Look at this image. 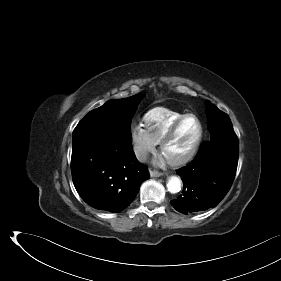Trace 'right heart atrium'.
<instances>
[{
  "mask_svg": "<svg viewBox=\"0 0 281 281\" xmlns=\"http://www.w3.org/2000/svg\"><path fill=\"white\" fill-rule=\"evenodd\" d=\"M131 139L134 154L138 160L144 161L154 151L156 143L141 124H134L131 128Z\"/></svg>",
  "mask_w": 281,
  "mask_h": 281,
  "instance_id": "d8ad5b80",
  "label": "right heart atrium"
}]
</instances>
